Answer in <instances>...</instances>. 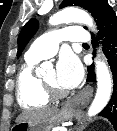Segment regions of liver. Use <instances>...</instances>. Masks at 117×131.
<instances>
[{
	"instance_id": "6515ba94",
	"label": "liver",
	"mask_w": 117,
	"mask_h": 131,
	"mask_svg": "<svg viewBox=\"0 0 117 131\" xmlns=\"http://www.w3.org/2000/svg\"><path fill=\"white\" fill-rule=\"evenodd\" d=\"M58 111L57 108H42V109H31L22 112L16 122H22L27 120H42L52 116L54 113Z\"/></svg>"
}]
</instances>
